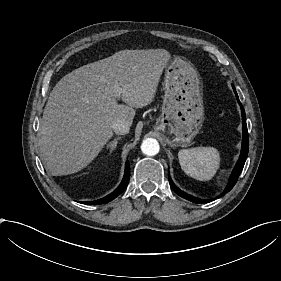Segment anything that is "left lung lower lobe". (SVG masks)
Returning a JSON list of instances; mask_svg holds the SVG:
<instances>
[{
    "instance_id": "left-lung-lower-lobe-1",
    "label": "left lung lower lobe",
    "mask_w": 281,
    "mask_h": 281,
    "mask_svg": "<svg viewBox=\"0 0 281 281\" xmlns=\"http://www.w3.org/2000/svg\"><path fill=\"white\" fill-rule=\"evenodd\" d=\"M233 90H234L235 95L237 97V101H238V103L241 107L242 123H243V125H242V131H243L242 148H241L240 157H239V159L236 163V166L234 167V169L232 171V174L230 176L229 183L226 186L225 190L219 195V197L224 196L236 184L237 179H238V177H239V175H240V173H241V171L244 167V164H245V161H246V158H247V155H248V150H249V139H248V131H247V125H246L245 111H244V108L241 105V102L239 101L238 95H237L234 87H233ZM168 178H169V183H170L171 188L182 198H185V199H187L189 201H192L194 203H207V202H210L212 200V199H209V200L199 199V198L193 197L191 195H188L187 193L181 191L179 188H177L175 186V184L173 183L169 174H168Z\"/></svg>"
}]
</instances>
